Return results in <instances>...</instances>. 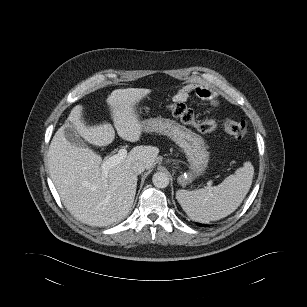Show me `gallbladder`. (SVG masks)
I'll list each match as a JSON object with an SVG mask.
<instances>
[{
  "label": "gallbladder",
  "instance_id": "1",
  "mask_svg": "<svg viewBox=\"0 0 307 307\" xmlns=\"http://www.w3.org/2000/svg\"><path fill=\"white\" fill-rule=\"evenodd\" d=\"M65 136L71 144L82 146V147H87V144L85 143V141L78 136L76 131L71 126L66 127Z\"/></svg>",
  "mask_w": 307,
  "mask_h": 307
}]
</instances>
